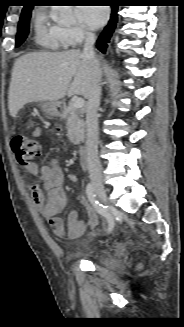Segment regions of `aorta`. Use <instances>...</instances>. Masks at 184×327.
<instances>
[{"label": "aorta", "mask_w": 184, "mask_h": 327, "mask_svg": "<svg viewBox=\"0 0 184 327\" xmlns=\"http://www.w3.org/2000/svg\"><path fill=\"white\" fill-rule=\"evenodd\" d=\"M66 17H68V18H72L73 16H72L71 13H69V14L66 15Z\"/></svg>", "instance_id": "aorta-1"}]
</instances>
